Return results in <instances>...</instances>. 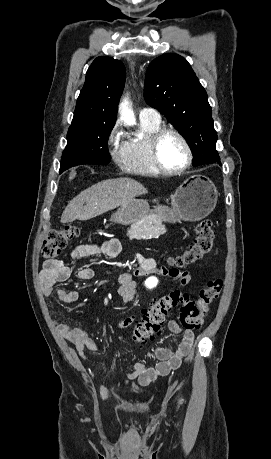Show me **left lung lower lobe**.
<instances>
[{"instance_id": "obj_1", "label": "left lung lower lobe", "mask_w": 271, "mask_h": 459, "mask_svg": "<svg viewBox=\"0 0 271 459\" xmlns=\"http://www.w3.org/2000/svg\"><path fill=\"white\" fill-rule=\"evenodd\" d=\"M217 163H219V165H221V162H220V161H219V162H217Z\"/></svg>"}]
</instances>
